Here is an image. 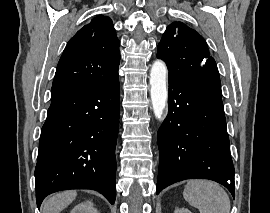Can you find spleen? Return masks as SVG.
Returning a JSON list of instances; mask_svg holds the SVG:
<instances>
[{
    "label": "spleen",
    "instance_id": "1",
    "mask_svg": "<svg viewBox=\"0 0 270 213\" xmlns=\"http://www.w3.org/2000/svg\"><path fill=\"white\" fill-rule=\"evenodd\" d=\"M184 199L200 213H230V199L225 190L209 180H189Z\"/></svg>",
    "mask_w": 270,
    "mask_h": 213
}]
</instances>
